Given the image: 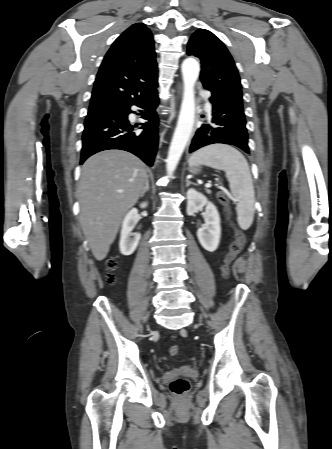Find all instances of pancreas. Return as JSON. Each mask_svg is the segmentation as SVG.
I'll list each match as a JSON object with an SVG mask.
<instances>
[{
	"instance_id": "1",
	"label": "pancreas",
	"mask_w": 332,
	"mask_h": 449,
	"mask_svg": "<svg viewBox=\"0 0 332 449\" xmlns=\"http://www.w3.org/2000/svg\"><path fill=\"white\" fill-rule=\"evenodd\" d=\"M206 192H207L208 194L211 193L210 190H206ZM223 196H224V194H223L222 192L217 193V197H223Z\"/></svg>"
}]
</instances>
